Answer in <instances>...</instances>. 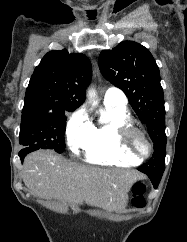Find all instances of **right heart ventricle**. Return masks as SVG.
I'll return each mask as SVG.
<instances>
[{"label": "right heart ventricle", "instance_id": "e07e8e85", "mask_svg": "<svg viewBox=\"0 0 187 242\" xmlns=\"http://www.w3.org/2000/svg\"><path fill=\"white\" fill-rule=\"evenodd\" d=\"M124 123H132L126 105L104 104V108L95 123H91V138L83 149L87 163L101 166H136V158L125 155L118 146L116 130Z\"/></svg>", "mask_w": 187, "mask_h": 242}]
</instances>
